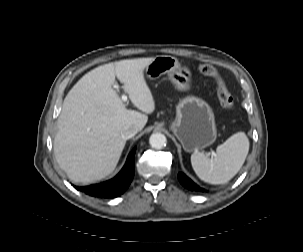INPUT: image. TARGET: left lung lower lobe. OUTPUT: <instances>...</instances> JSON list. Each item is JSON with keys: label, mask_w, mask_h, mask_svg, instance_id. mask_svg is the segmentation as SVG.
<instances>
[{"label": "left lung lower lobe", "mask_w": 303, "mask_h": 252, "mask_svg": "<svg viewBox=\"0 0 303 252\" xmlns=\"http://www.w3.org/2000/svg\"><path fill=\"white\" fill-rule=\"evenodd\" d=\"M178 179L180 183L187 189L192 191H201L203 192L204 189L196 185L191 179H189L185 174L179 173Z\"/></svg>", "instance_id": "obj_1"}]
</instances>
